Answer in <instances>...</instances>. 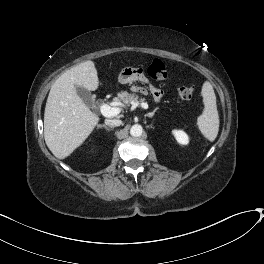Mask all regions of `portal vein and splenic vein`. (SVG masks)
Listing matches in <instances>:
<instances>
[{
  "label": "portal vein and splenic vein",
  "mask_w": 264,
  "mask_h": 264,
  "mask_svg": "<svg viewBox=\"0 0 264 264\" xmlns=\"http://www.w3.org/2000/svg\"><path fill=\"white\" fill-rule=\"evenodd\" d=\"M140 106L143 109L148 108V104L145 102L140 103ZM100 111H101L102 115L105 117H113V116H116L117 114L120 113V108H112L108 104L104 103L100 106Z\"/></svg>",
  "instance_id": "portal-vein-and-splenic-vein-1"
}]
</instances>
